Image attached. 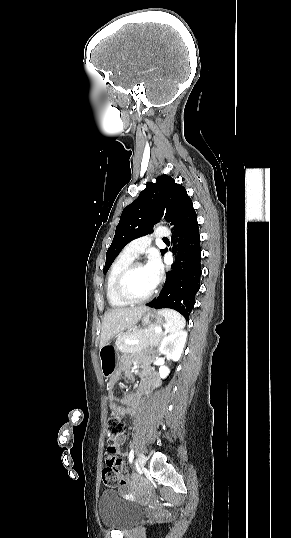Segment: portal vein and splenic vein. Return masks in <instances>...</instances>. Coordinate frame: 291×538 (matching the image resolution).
I'll use <instances>...</instances> for the list:
<instances>
[{"instance_id": "1", "label": "portal vein and splenic vein", "mask_w": 291, "mask_h": 538, "mask_svg": "<svg viewBox=\"0 0 291 538\" xmlns=\"http://www.w3.org/2000/svg\"><path fill=\"white\" fill-rule=\"evenodd\" d=\"M156 332H161V330L156 328ZM138 342H139V340H134V343H138Z\"/></svg>"}]
</instances>
